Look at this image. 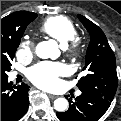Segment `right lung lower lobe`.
Wrapping results in <instances>:
<instances>
[{
    "mask_svg": "<svg viewBox=\"0 0 121 121\" xmlns=\"http://www.w3.org/2000/svg\"><path fill=\"white\" fill-rule=\"evenodd\" d=\"M29 86L22 83L16 86L8 82V78L1 79V121H17L28 110Z\"/></svg>",
    "mask_w": 121,
    "mask_h": 121,
    "instance_id": "98d812e1",
    "label": "right lung lower lobe"
}]
</instances>
